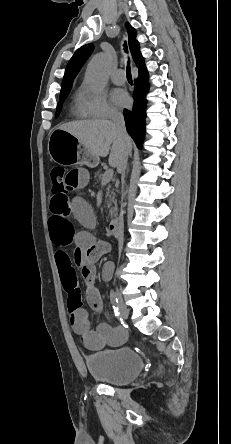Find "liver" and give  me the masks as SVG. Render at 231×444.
<instances>
[{"instance_id":"6515ba94","label":"liver","mask_w":231,"mask_h":444,"mask_svg":"<svg viewBox=\"0 0 231 444\" xmlns=\"http://www.w3.org/2000/svg\"><path fill=\"white\" fill-rule=\"evenodd\" d=\"M69 132L96 156L106 157L109 154V164L121 166L124 158H128L133 142L129 137V149L126 142L120 137L113 122L108 120L73 121L58 127ZM112 145V147H111Z\"/></svg>"}]
</instances>
